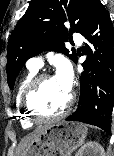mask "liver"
Listing matches in <instances>:
<instances>
[{"label": "liver", "mask_w": 114, "mask_h": 156, "mask_svg": "<svg viewBox=\"0 0 114 156\" xmlns=\"http://www.w3.org/2000/svg\"><path fill=\"white\" fill-rule=\"evenodd\" d=\"M48 126H40L35 131H33L31 134L24 137L18 147L16 148V156H25L28 148L30 147L31 143L41 134L45 131V129Z\"/></svg>", "instance_id": "liver-1"}]
</instances>
